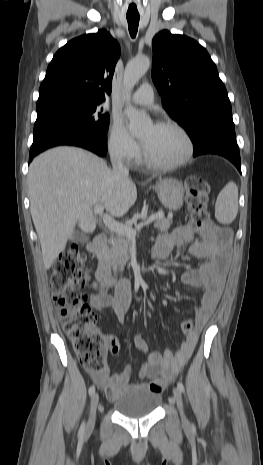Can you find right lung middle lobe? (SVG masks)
Listing matches in <instances>:
<instances>
[{
	"label": "right lung middle lobe",
	"instance_id": "1",
	"mask_svg": "<svg viewBox=\"0 0 263 465\" xmlns=\"http://www.w3.org/2000/svg\"><path fill=\"white\" fill-rule=\"evenodd\" d=\"M101 102L69 96L38 101L34 137L56 130H74L107 143L110 118L99 108Z\"/></svg>",
	"mask_w": 263,
	"mask_h": 465
}]
</instances>
